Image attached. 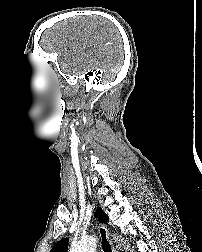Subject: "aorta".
<instances>
[{
	"label": "aorta",
	"mask_w": 202,
	"mask_h": 252,
	"mask_svg": "<svg viewBox=\"0 0 202 252\" xmlns=\"http://www.w3.org/2000/svg\"><path fill=\"white\" fill-rule=\"evenodd\" d=\"M128 248V246H127ZM96 240L93 237L81 240L72 245L70 252H95Z\"/></svg>",
	"instance_id": "1"
}]
</instances>
